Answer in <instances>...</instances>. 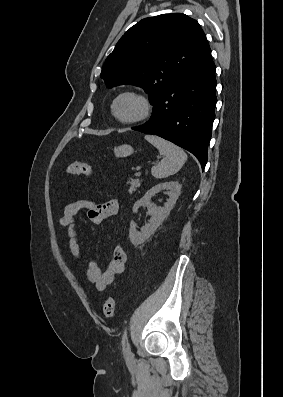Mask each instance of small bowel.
I'll return each mask as SVG.
<instances>
[{"instance_id":"small-bowel-1","label":"small bowel","mask_w":283,"mask_h":397,"mask_svg":"<svg viewBox=\"0 0 283 397\" xmlns=\"http://www.w3.org/2000/svg\"><path fill=\"white\" fill-rule=\"evenodd\" d=\"M87 211V217L93 224H101L105 219L116 215L119 211V202L115 199L96 203L87 198L75 199L68 203L63 215L58 223L67 229L69 238V252L79 259L81 257V247L75 226L76 215L82 211ZM127 255L124 248L116 245L113 248L112 258L105 270H102L96 262L90 261L87 265V278L93 283L97 290H105L125 269Z\"/></svg>"}]
</instances>
